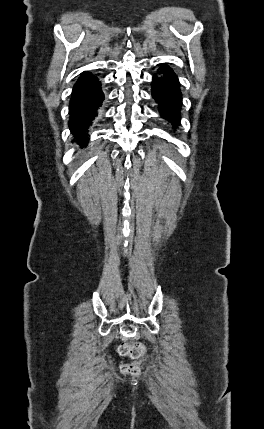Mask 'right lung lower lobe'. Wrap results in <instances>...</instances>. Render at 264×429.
Listing matches in <instances>:
<instances>
[{"label":"right lung lower lobe","mask_w":264,"mask_h":429,"mask_svg":"<svg viewBox=\"0 0 264 429\" xmlns=\"http://www.w3.org/2000/svg\"><path fill=\"white\" fill-rule=\"evenodd\" d=\"M104 94L97 77L83 72L75 83L69 105V128L79 143L89 140L88 128L98 115Z\"/></svg>","instance_id":"1"}]
</instances>
